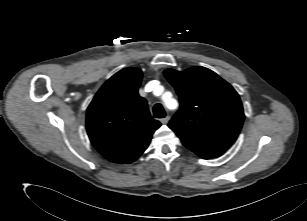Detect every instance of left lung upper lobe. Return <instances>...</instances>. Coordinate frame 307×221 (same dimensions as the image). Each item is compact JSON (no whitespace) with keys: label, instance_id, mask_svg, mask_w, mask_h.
<instances>
[{"label":"left lung upper lobe","instance_id":"1","mask_svg":"<svg viewBox=\"0 0 307 221\" xmlns=\"http://www.w3.org/2000/svg\"><path fill=\"white\" fill-rule=\"evenodd\" d=\"M164 75L174 86L180 109L168 126L185 146L226 151L237 139L244 111L234 88L205 67L179 72L166 69Z\"/></svg>","mask_w":307,"mask_h":221}]
</instances>
